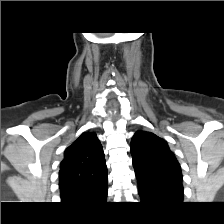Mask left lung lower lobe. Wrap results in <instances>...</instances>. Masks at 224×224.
Here are the masks:
<instances>
[{
  "label": "left lung lower lobe",
  "instance_id": "left-lung-lower-lobe-1",
  "mask_svg": "<svg viewBox=\"0 0 224 224\" xmlns=\"http://www.w3.org/2000/svg\"><path fill=\"white\" fill-rule=\"evenodd\" d=\"M136 173L138 192L142 203L181 204L183 200L182 183L147 179Z\"/></svg>",
  "mask_w": 224,
  "mask_h": 224
}]
</instances>
